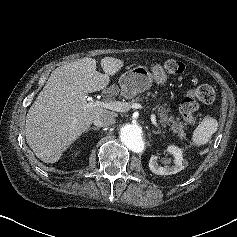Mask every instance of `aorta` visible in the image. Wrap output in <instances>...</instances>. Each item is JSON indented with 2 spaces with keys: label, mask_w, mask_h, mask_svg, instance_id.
Returning a JSON list of instances; mask_svg holds the SVG:
<instances>
[{
  "label": "aorta",
  "mask_w": 237,
  "mask_h": 237,
  "mask_svg": "<svg viewBox=\"0 0 237 237\" xmlns=\"http://www.w3.org/2000/svg\"><path fill=\"white\" fill-rule=\"evenodd\" d=\"M120 138L121 141L134 152H140L144 147L142 131L138 125H124L120 130Z\"/></svg>",
  "instance_id": "1"
}]
</instances>
